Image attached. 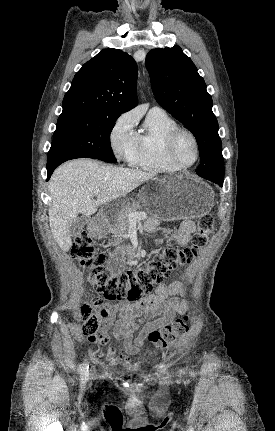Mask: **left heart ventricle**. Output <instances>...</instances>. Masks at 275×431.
Returning <instances> with one entry per match:
<instances>
[{"label": "left heart ventricle", "instance_id": "b2bd125f", "mask_svg": "<svg viewBox=\"0 0 275 431\" xmlns=\"http://www.w3.org/2000/svg\"><path fill=\"white\" fill-rule=\"evenodd\" d=\"M175 155L182 164H190L195 158V148L191 138L181 135L175 146Z\"/></svg>", "mask_w": 275, "mask_h": 431}]
</instances>
